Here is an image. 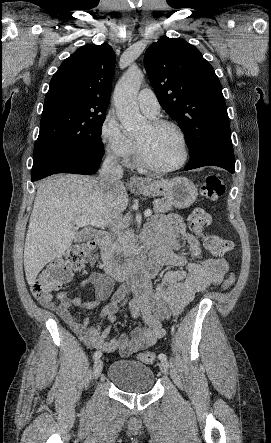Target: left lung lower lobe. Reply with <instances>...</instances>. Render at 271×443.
<instances>
[{"instance_id": "left-lung-lower-lobe-1", "label": "left lung lower lobe", "mask_w": 271, "mask_h": 443, "mask_svg": "<svg viewBox=\"0 0 271 443\" xmlns=\"http://www.w3.org/2000/svg\"><path fill=\"white\" fill-rule=\"evenodd\" d=\"M208 165L222 167L233 174L235 172L234 152L223 149H214L200 153L189 160L185 170Z\"/></svg>"}]
</instances>
